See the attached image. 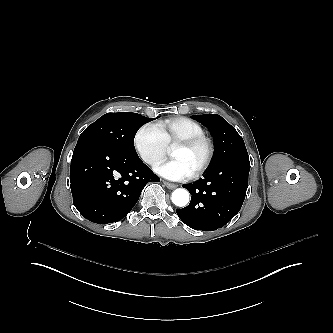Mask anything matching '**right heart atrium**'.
<instances>
[{
  "mask_svg": "<svg viewBox=\"0 0 333 333\" xmlns=\"http://www.w3.org/2000/svg\"><path fill=\"white\" fill-rule=\"evenodd\" d=\"M134 148L142 161L149 168L155 169L165 158L168 147L159 126L148 123L136 133Z\"/></svg>",
  "mask_w": 333,
  "mask_h": 333,
  "instance_id": "right-heart-atrium-1",
  "label": "right heart atrium"
}]
</instances>
